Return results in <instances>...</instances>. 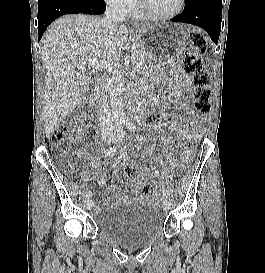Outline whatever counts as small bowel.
I'll return each instance as SVG.
<instances>
[{
    "mask_svg": "<svg viewBox=\"0 0 265 273\" xmlns=\"http://www.w3.org/2000/svg\"><path fill=\"white\" fill-rule=\"evenodd\" d=\"M152 113H154V112H152ZM154 114H156V113H154ZM167 117H168V114L166 112H164L162 114V118L166 119ZM77 156L78 157H88L87 153L82 149H79L77 151ZM91 163L97 170L100 169V163L97 160L91 159ZM107 164L110 166V169H109L110 174H117L118 173L119 166H118L117 161H114L112 159H108ZM143 180H144V177L142 175L133 176L130 179V184L133 186L134 196L133 197H119L117 199L118 203L127 204L131 201L142 200L144 198V195L141 192V184H142ZM100 182L102 184H104L106 182V176L102 177ZM111 208H113V206ZM98 210H99V208H97V211Z\"/></svg>",
    "mask_w": 265,
    "mask_h": 273,
    "instance_id": "small-bowel-1",
    "label": "small bowel"
}]
</instances>
